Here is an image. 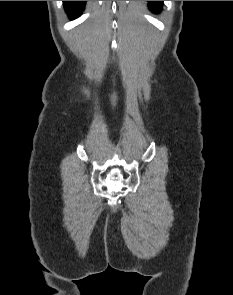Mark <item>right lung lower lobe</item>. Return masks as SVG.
I'll use <instances>...</instances> for the list:
<instances>
[{
	"mask_svg": "<svg viewBox=\"0 0 233 295\" xmlns=\"http://www.w3.org/2000/svg\"><path fill=\"white\" fill-rule=\"evenodd\" d=\"M86 1H63L67 14L71 19L77 18L80 16L81 12L84 9Z\"/></svg>",
	"mask_w": 233,
	"mask_h": 295,
	"instance_id": "98d812e1",
	"label": "right lung lower lobe"
}]
</instances>
